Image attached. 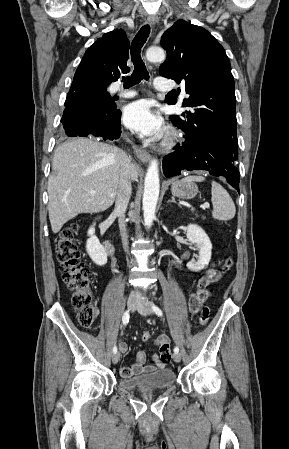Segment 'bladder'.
Masks as SVG:
<instances>
[{"label":"bladder","mask_w":289,"mask_h":449,"mask_svg":"<svg viewBox=\"0 0 289 449\" xmlns=\"http://www.w3.org/2000/svg\"><path fill=\"white\" fill-rule=\"evenodd\" d=\"M175 382V373L169 368L158 369L149 373L122 378L118 384L128 391L166 389Z\"/></svg>","instance_id":"obj_1"}]
</instances>
